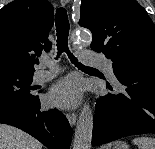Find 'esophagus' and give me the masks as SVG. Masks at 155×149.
Wrapping results in <instances>:
<instances>
[{
	"label": "esophagus",
	"instance_id": "34e87169",
	"mask_svg": "<svg viewBox=\"0 0 155 149\" xmlns=\"http://www.w3.org/2000/svg\"><path fill=\"white\" fill-rule=\"evenodd\" d=\"M62 5H67L70 1L69 0H61L60 1ZM67 119L70 123V125L73 127L76 123V120H77V115L75 112H69L67 113Z\"/></svg>",
	"mask_w": 155,
	"mask_h": 149
}]
</instances>
